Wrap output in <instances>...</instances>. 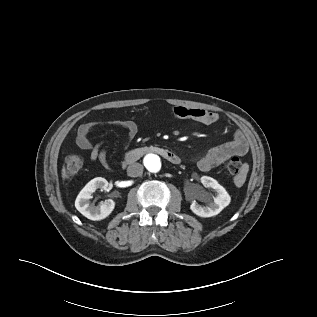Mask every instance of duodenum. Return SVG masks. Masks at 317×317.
<instances>
[{"label": "duodenum", "instance_id": "1", "mask_svg": "<svg viewBox=\"0 0 317 317\" xmlns=\"http://www.w3.org/2000/svg\"><path fill=\"white\" fill-rule=\"evenodd\" d=\"M148 153L159 155L172 164H179L181 161L180 157L171 150L164 149L158 146H144L128 151L125 155L124 163H134Z\"/></svg>", "mask_w": 317, "mask_h": 317}]
</instances>
